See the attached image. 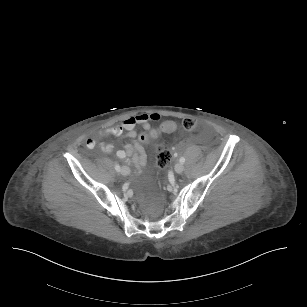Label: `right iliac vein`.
<instances>
[{
	"label": "right iliac vein",
	"instance_id": "obj_1",
	"mask_svg": "<svg viewBox=\"0 0 307 307\" xmlns=\"http://www.w3.org/2000/svg\"><path fill=\"white\" fill-rule=\"evenodd\" d=\"M128 173H129V168L126 166L122 167V174L127 175Z\"/></svg>",
	"mask_w": 307,
	"mask_h": 307
}]
</instances>
